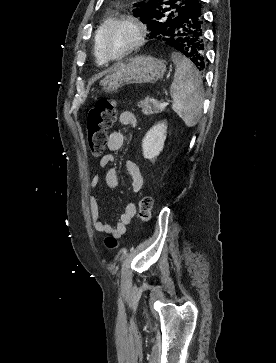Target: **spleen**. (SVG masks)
<instances>
[{"mask_svg": "<svg viewBox=\"0 0 276 363\" xmlns=\"http://www.w3.org/2000/svg\"><path fill=\"white\" fill-rule=\"evenodd\" d=\"M172 60L176 65L170 87L173 98L172 109L187 127H193L202 117L204 102L202 79L191 61L180 53H172Z\"/></svg>", "mask_w": 276, "mask_h": 363, "instance_id": "spleen-1", "label": "spleen"}]
</instances>
